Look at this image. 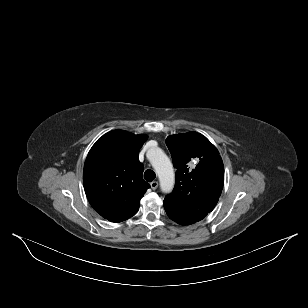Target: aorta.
Segmentation results:
<instances>
[{
  "label": "aorta",
  "mask_w": 308,
  "mask_h": 308,
  "mask_svg": "<svg viewBox=\"0 0 308 308\" xmlns=\"http://www.w3.org/2000/svg\"><path fill=\"white\" fill-rule=\"evenodd\" d=\"M149 159L158 174L161 190L165 193L170 192L175 182L170 159L160 148L153 149L149 154Z\"/></svg>",
  "instance_id": "obj_1"
}]
</instances>
